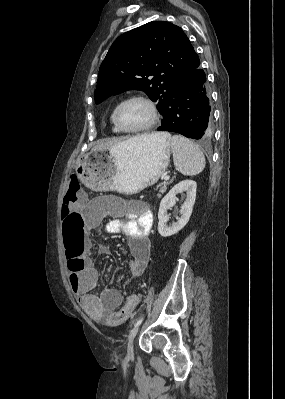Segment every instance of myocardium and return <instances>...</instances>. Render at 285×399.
<instances>
[{"label": "myocardium", "instance_id": "myocardium-1", "mask_svg": "<svg viewBox=\"0 0 285 399\" xmlns=\"http://www.w3.org/2000/svg\"><path fill=\"white\" fill-rule=\"evenodd\" d=\"M135 100H139V101L146 103L149 106V108L151 109L152 117H151V120L143 126L136 127V128H126L121 123L120 113H121V110L124 107V105H126L127 103H129L131 101H135ZM159 118H160V114H159V110H158L156 103L151 98H149L148 96H145V95L129 96L126 99L122 100L117 105L116 110H115V123H116L117 127L122 132H125V133H139V132L147 131L158 123Z\"/></svg>", "mask_w": 285, "mask_h": 399}]
</instances>
